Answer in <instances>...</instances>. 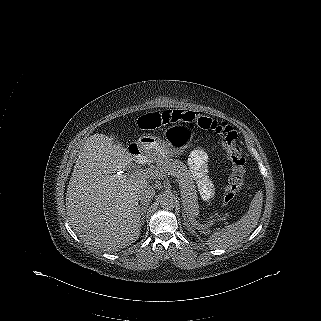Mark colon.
<instances>
[{
  "instance_id": "5ec220e1",
  "label": "colon",
  "mask_w": 321,
  "mask_h": 321,
  "mask_svg": "<svg viewBox=\"0 0 321 321\" xmlns=\"http://www.w3.org/2000/svg\"><path fill=\"white\" fill-rule=\"evenodd\" d=\"M175 122L194 123L200 128L213 130L222 137L223 145L233 163V172L223 194L224 202L229 203L241 187L245 173V158L236 143L237 132L227 123L218 122L208 116L184 110L149 113L141 116L134 123V126L143 130H154Z\"/></svg>"
}]
</instances>
